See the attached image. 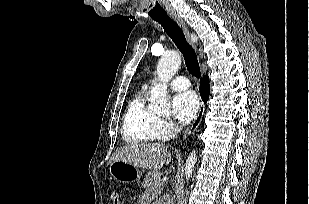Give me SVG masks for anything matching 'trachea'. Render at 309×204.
I'll use <instances>...</instances> for the list:
<instances>
[{
  "instance_id": "3493384b",
  "label": "trachea",
  "mask_w": 309,
  "mask_h": 204,
  "mask_svg": "<svg viewBox=\"0 0 309 204\" xmlns=\"http://www.w3.org/2000/svg\"><path fill=\"white\" fill-rule=\"evenodd\" d=\"M152 19L161 24V26L164 28V31L181 51L185 60L186 67L190 74L199 78L201 73L196 53L191 45L187 42L183 31L178 26V24L168 15L153 17Z\"/></svg>"
}]
</instances>
